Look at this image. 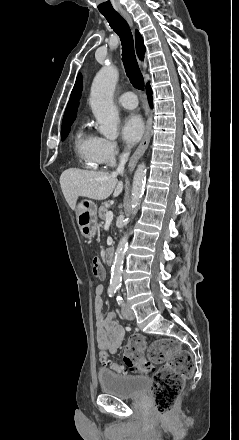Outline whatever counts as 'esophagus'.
Masks as SVG:
<instances>
[{
    "instance_id": "esophagus-1",
    "label": "esophagus",
    "mask_w": 239,
    "mask_h": 440,
    "mask_svg": "<svg viewBox=\"0 0 239 440\" xmlns=\"http://www.w3.org/2000/svg\"><path fill=\"white\" fill-rule=\"evenodd\" d=\"M120 13L127 20L129 25L133 26L132 20H131L130 16L128 15V13H126L124 10H122ZM140 64L142 65L141 61H140ZM151 133H152V118H151V116H149L147 119V122H146V129H145V133L143 135V138L129 160L128 170L130 172L135 168L138 160L142 157V155L145 153L146 149L148 148Z\"/></svg>"
}]
</instances>
